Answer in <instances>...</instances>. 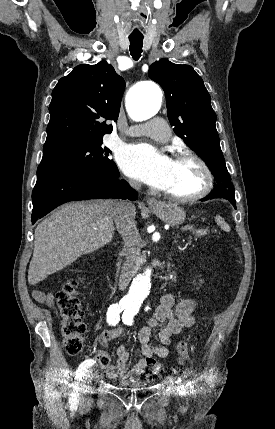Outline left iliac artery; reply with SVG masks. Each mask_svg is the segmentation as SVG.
Masks as SVG:
<instances>
[{
  "label": "left iliac artery",
  "mask_w": 275,
  "mask_h": 429,
  "mask_svg": "<svg viewBox=\"0 0 275 429\" xmlns=\"http://www.w3.org/2000/svg\"><path fill=\"white\" fill-rule=\"evenodd\" d=\"M137 312H138L137 307H131V306L125 307V311L123 312V315H122V320L124 324L132 325L133 317L137 314Z\"/></svg>",
  "instance_id": "1"
}]
</instances>
